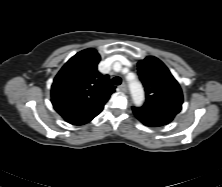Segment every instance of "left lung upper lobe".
<instances>
[{"instance_id":"5c2ea615","label":"left lung upper lobe","mask_w":222,"mask_h":187,"mask_svg":"<svg viewBox=\"0 0 222 187\" xmlns=\"http://www.w3.org/2000/svg\"><path fill=\"white\" fill-rule=\"evenodd\" d=\"M137 65L146 95L141 108L179 113L183 103L182 90L164 63L156 57L148 56Z\"/></svg>"}]
</instances>
